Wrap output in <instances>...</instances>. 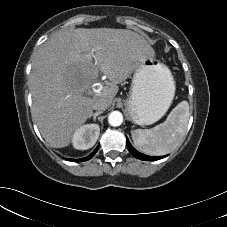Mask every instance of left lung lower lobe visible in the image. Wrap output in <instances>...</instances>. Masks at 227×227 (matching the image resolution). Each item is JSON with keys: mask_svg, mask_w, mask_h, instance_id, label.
Here are the masks:
<instances>
[{"mask_svg": "<svg viewBox=\"0 0 227 227\" xmlns=\"http://www.w3.org/2000/svg\"><path fill=\"white\" fill-rule=\"evenodd\" d=\"M127 147H128V149H129V151L131 152V154H132L134 157H136V158H138V159H140V160L154 161V160H158V159H161V158L165 157V156H163V157H151V156H147V155H144V154L138 152V151L130 144L128 138H127Z\"/></svg>", "mask_w": 227, "mask_h": 227, "instance_id": "0a47b994", "label": "left lung lower lobe"}]
</instances>
